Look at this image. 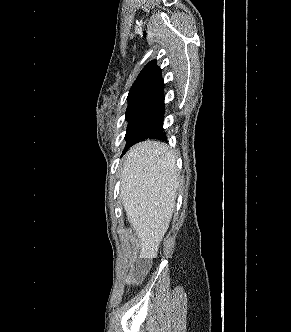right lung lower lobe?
I'll list each match as a JSON object with an SVG mask.
<instances>
[{
  "instance_id": "obj_1",
  "label": "right lung lower lobe",
  "mask_w": 291,
  "mask_h": 332,
  "mask_svg": "<svg viewBox=\"0 0 291 332\" xmlns=\"http://www.w3.org/2000/svg\"><path fill=\"white\" fill-rule=\"evenodd\" d=\"M164 105L163 87L140 104L127 127V144L123 153L140 140L147 138L165 139L166 135L163 129Z\"/></svg>"
}]
</instances>
